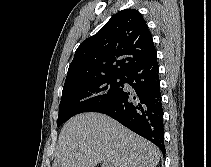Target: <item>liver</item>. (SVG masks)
Segmentation results:
<instances>
[{
	"label": "liver",
	"mask_w": 211,
	"mask_h": 167,
	"mask_svg": "<svg viewBox=\"0 0 211 167\" xmlns=\"http://www.w3.org/2000/svg\"><path fill=\"white\" fill-rule=\"evenodd\" d=\"M160 150L100 113L74 116L63 126L52 167H156Z\"/></svg>",
	"instance_id": "liver-1"
}]
</instances>
